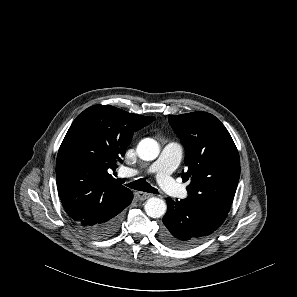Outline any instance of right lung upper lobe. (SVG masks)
<instances>
[{
	"mask_svg": "<svg viewBox=\"0 0 297 297\" xmlns=\"http://www.w3.org/2000/svg\"><path fill=\"white\" fill-rule=\"evenodd\" d=\"M154 119L109 105H95L74 120L56 162L59 195L74 221L87 217L100 205H119L132 194L108 172L122 162L133 133Z\"/></svg>",
	"mask_w": 297,
	"mask_h": 297,
	"instance_id": "right-lung-upper-lobe-1",
	"label": "right lung upper lobe"
}]
</instances>
